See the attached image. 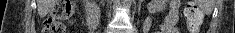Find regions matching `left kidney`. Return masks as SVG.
<instances>
[{
    "mask_svg": "<svg viewBox=\"0 0 235 33\" xmlns=\"http://www.w3.org/2000/svg\"><path fill=\"white\" fill-rule=\"evenodd\" d=\"M167 6V0H150L147 5L148 12L155 14L157 12L165 10Z\"/></svg>",
    "mask_w": 235,
    "mask_h": 33,
    "instance_id": "obj_1",
    "label": "left kidney"
}]
</instances>
